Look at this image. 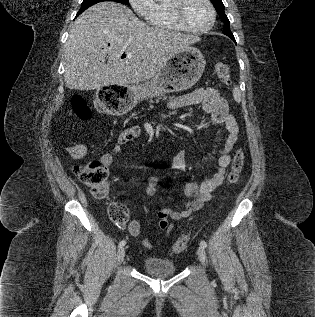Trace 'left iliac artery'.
I'll use <instances>...</instances> for the list:
<instances>
[{
	"instance_id": "left-iliac-artery-1",
	"label": "left iliac artery",
	"mask_w": 315,
	"mask_h": 317,
	"mask_svg": "<svg viewBox=\"0 0 315 317\" xmlns=\"http://www.w3.org/2000/svg\"><path fill=\"white\" fill-rule=\"evenodd\" d=\"M200 245L204 248L207 247V243L204 240H201Z\"/></svg>"
}]
</instances>
